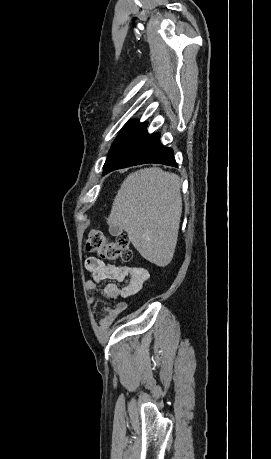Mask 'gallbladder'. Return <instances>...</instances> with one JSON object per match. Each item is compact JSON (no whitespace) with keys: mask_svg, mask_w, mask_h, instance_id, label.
<instances>
[{"mask_svg":"<svg viewBox=\"0 0 271 459\" xmlns=\"http://www.w3.org/2000/svg\"><path fill=\"white\" fill-rule=\"evenodd\" d=\"M122 231L123 229L117 228V226H109V233H111V235H120Z\"/></svg>","mask_w":271,"mask_h":459,"instance_id":"1","label":"gallbladder"}]
</instances>
